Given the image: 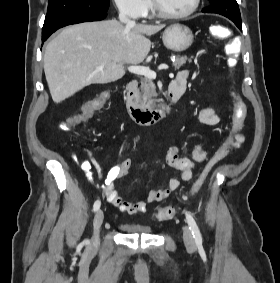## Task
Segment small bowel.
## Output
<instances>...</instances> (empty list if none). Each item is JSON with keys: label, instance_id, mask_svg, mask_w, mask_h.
Returning <instances> with one entry per match:
<instances>
[{"label": "small bowel", "instance_id": "c3829d8e", "mask_svg": "<svg viewBox=\"0 0 280 283\" xmlns=\"http://www.w3.org/2000/svg\"><path fill=\"white\" fill-rule=\"evenodd\" d=\"M175 81L184 91L187 81V72H180ZM198 120L206 126L217 125L220 118L217 113L211 108H204L199 112ZM243 125H238L233 122V130L227 141L220 147L218 152L226 154L230 150L239 148L244 141L242 133ZM210 157L208 151L201 146H195L191 152V156H182L178 147L170 146L166 152V162L169 166L181 172L180 178H171L168 187L165 189H154L149 191L145 201L128 202L121 198L115 188V180L120 179L128 174L132 167V161L129 158H124L117 166L113 167L104 182L101 184V189L106 197V200L115 206L121 212L136 215L145 213L148 210V205L157 203L167 198L172 192L177 190L181 182L187 183L192 180L196 163L205 162ZM75 160L77 158L74 156ZM81 168L90 173L93 162L90 159H84L80 162Z\"/></svg>", "mask_w": 280, "mask_h": 283}]
</instances>
